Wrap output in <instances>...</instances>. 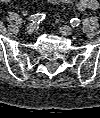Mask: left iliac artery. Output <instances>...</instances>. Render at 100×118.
Returning a JSON list of instances; mask_svg holds the SVG:
<instances>
[{
  "label": "left iliac artery",
  "instance_id": "left-iliac-artery-1",
  "mask_svg": "<svg viewBox=\"0 0 100 118\" xmlns=\"http://www.w3.org/2000/svg\"><path fill=\"white\" fill-rule=\"evenodd\" d=\"M80 20L78 19V18H73V19H71L70 20V23H71V26L72 27H77V26H79L80 25Z\"/></svg>",
  "mask_w": 100,
  "mask_h": 118
}]
</instances>
